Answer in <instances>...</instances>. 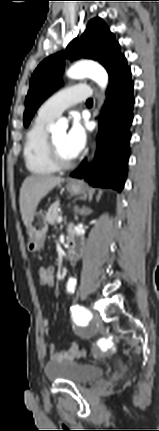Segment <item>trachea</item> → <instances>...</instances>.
<instances>
[{"instance_id": "trachea-1", "label": "trachea", "mask_w": 159, "mask_h": 431, "mask_svg": "<svg viewBox=\"0 0 159 431\" xmlns=\"http://www.w3.org/2000/svg\"><path fill=\"white\" fill-rule=\"evenodd\" d=\"M87 104H92L93 103V100L90 98V99H88L87 100V102H86Z\"/></svg>"}]
</instances>
